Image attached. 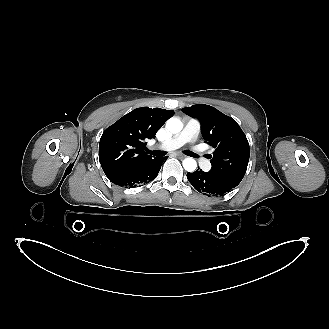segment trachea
<instances>
[{
    "label": "trachea",
    "instance_id": "trachea-1",
    "mask_svg": "<svg viewBox=\"0 0 329 329\" xmlns=\"http://www.w3.org/2000/svg\"><path fill=\"white\" fill-rule=\"evenodd\" d=\"M149 153L154 155V156H157V157L165 156V152L160 151V150L149 151ZM185 154L189 155V156H192V157H195V154L190 152V151H186Z\"/></svg>",
    "mask_w": 329,
    "mask_h": 329
}]
</instances>
